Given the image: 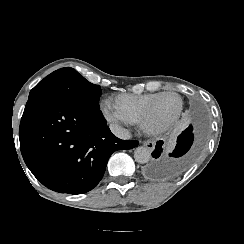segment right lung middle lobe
<instances>
[{
    "instance_id": "dd1d6c3e",
    "label": "right lung middle lobe",
    "mask_w": 244,
    "mask_h": 244,
    "mask_svg": "<svg viewBox=\"0 0 244 244\" xmlns=\"http://www.w3.org/2000/svg\"><path fill=\"white\" fill-rule=\"evenodd\" d=\"M101 89L87 81L70 67L54 71L39 82L29 94L32 98H58L68 100L88 108L99 107Z\"/></svg>"
}]
</instances>
